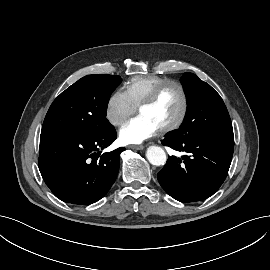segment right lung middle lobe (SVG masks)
<instances>
[{"instance_id":"dd1d6c3e","label":"right lung middle lobe","mask_w":270,"mask_h":270,"mask_svg":"<svg viewBox=\"0 0 270 270\" xmlns=\"http://www.w3.org/2000/svg\"><path fill=\"white\" fill-rule=\"evenodd\" d=\"M117 75H88L63 91L50 106L41 133L98 135L112 125L106 119L112 91L120 83Z\"/></svg>"}]
</instances>
